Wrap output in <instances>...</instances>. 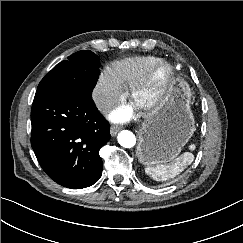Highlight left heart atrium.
Wrapping results in <instances>:
<instances>
[{
  "instance_id": "left-heart-atrium-1",
  "label": "left heart atrium",
  "mask_w": 243,
  "mask_h": 243,
  "mask_svg": "<svg viewBox=\"0 0 243 243\" xmlns=\"http://www.w3.org/2000/svg\"><path fill=\"white\" fill-rule=\"evenodd\" d=\"M132 114L131 107L123 106L114 110L110 115V119L114 122H124L129 120Z\"/></svg>"
}]
</instances>
